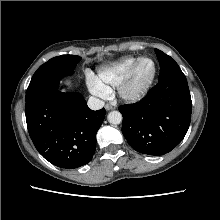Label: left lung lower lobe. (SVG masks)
<instances>
[{"label": "left lung lower lobe", "mask_w": 220, "mask_h": 220, "mask_svg": "<svg viewBox=\"0 0 220 220\" xmlns=\"http://www.w3.org/2000/svg\"><path fill=\"white\" fill-rule=\"evenodd\" d=\"M192 102L184 74L162 80L140 102L123 105L122 133L136 151L163 155L184 138L191 120Z\"/></svg>", "instance_id": "left-lung-lower-lobe-1"}]
</instances>
